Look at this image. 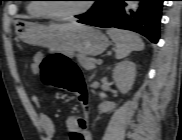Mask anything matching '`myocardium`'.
Returning <instances> with one entry per match:
<instances>
[{"instance_id":"obj_1","label":"myocardium","mask_w":182,"mask_h":140,"mask_svg":"<svg viewBox=\"0 0 182 140\" xmlns=\"http://www.w3.org/2000/svg\"><path fill=\"white\" fill-rule=\"evenodd\" d=\"M48 1V0H44ZM91 8V3L87 2L81 9L74 11V12H69V13H61L57 12L52 8V5L50 4H42L41 9L45 13L46 16L54 19H72L75 17H78L82 14H85L86 12L89 11Z\"/></svg>"}]
</instances>
